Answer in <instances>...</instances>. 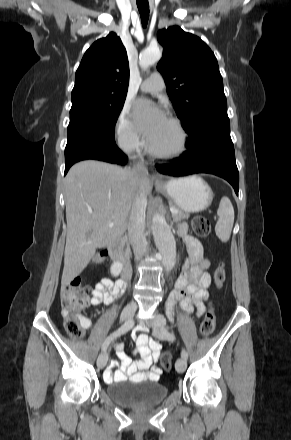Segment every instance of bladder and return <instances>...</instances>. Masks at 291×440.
<instances>
[{"mask_svg": "<svg viewBox=\"0 0 291 440\" xmlns=\"http://www.w3.org/2000/svg\"><path fill=\"white\" fill-rule=\"evenodd\" d=\"M107 393L121 405L136 407L162 402L168 393V388L149 380H122L109 383Z\"/></svg>", "mask_w": 291, "mask_h": 440, "instance_id": "bladder-1", "label": "bladder"}]
</instances>
